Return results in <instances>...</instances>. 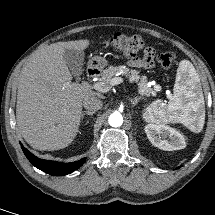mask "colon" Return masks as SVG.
Masks as SVG:
<instances>
[{
  "label": "colon",
  "instance_id": "obj_1",
  "mask_svg": "<svg viewBox=\"0 0 215 215\" xmlns=\"http://www.w3.org/2000/svg\"><path fill=\"white\" fill-rule=\"evenodd\" d=\"M104 47L117 50L128 57H135L145 46L142 37L138 35L115 34L108 40L104 41ZM175 60L172 52H163L158 56V62L163 68H169Z\"/></svg>",
  "mask_w": 215,
  "mask_h": 215
}]
</instances>
